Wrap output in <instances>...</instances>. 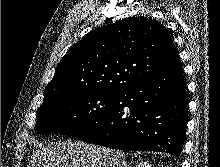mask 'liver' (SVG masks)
<instances>
[{
	"instance_id": "1",
	"label": "liver",
	"mask_w": 220,
	"mask_h": 167,
	"mask_svg": "<svg viewBox=\"0 0 220 167\" xmlns=\"http://www.w3.org/2000/svg\"><path fill=\"white\" fill-rule=\"evenodd\" d=\"M28 167H126L121 151L75 141L39 144Z\"/></svg>"
}]
</instances>
